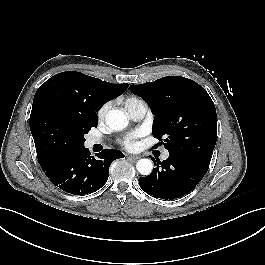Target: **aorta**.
Segmentation results:
<instances>
[{"mask_svg": "<svg viewBox=\"0 0 265 265\" xmlns=\"http://www.w3.org/2000/svg\"><path fill=\"white\" fill-rule=\"evenodd\" d=\"M128 116L120 110H111L106 117V124L115 131L123 130L127 127ZM137 171L142 175H149L152 172L153 164L150 159H140L136 164Z\"/></svg>", "mask_w": 265, "mask_h": 265, "instance_id": "762f6f07", "label": "aorta"}]
</instances>
